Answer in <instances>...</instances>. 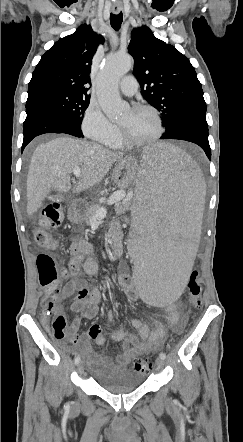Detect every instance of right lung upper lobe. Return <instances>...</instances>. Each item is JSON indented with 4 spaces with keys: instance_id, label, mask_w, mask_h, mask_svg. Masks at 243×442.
Segmentation results:
<instances>
[{
    "instance_id": "cb5924a9",
    "label": "right lung upper lobe",
    "mask_w": 243,
    "mask_h": 442,
    "mask_svg": "<svg viewBox=\"0 0 243 442\" xmlns=\"http://www.w3.org/2000/svg\"><path fill=\"white\" fill-rule=\"evenodd\" d=\"M90 26L83 24L59 41L41 57L29 82L28 97L49 91H62L90 98L91 63L99 43Z\"/></svg>"
}]
</instances>
